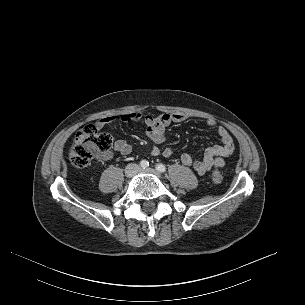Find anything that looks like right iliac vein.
<instances>
[{
	"mask_svg": "<svg viewBox=\"0 0 305 305\" xmlns=\"http://www.w3.org/2000/svg\"><path fill=\"white\" fill-rule=\"evenodd\" d=\"M138 167L134 164L128 165L125 174L127 177H132L137 172Z\"/></svg>",
	"mask_w": 305,
	"mask_h": 305,
	"instance_id": "right-iliac-vein-1",
	"label": "right iliac vein"
}]
</instances>
